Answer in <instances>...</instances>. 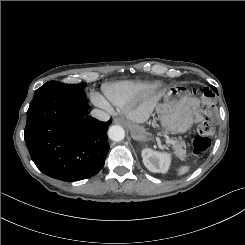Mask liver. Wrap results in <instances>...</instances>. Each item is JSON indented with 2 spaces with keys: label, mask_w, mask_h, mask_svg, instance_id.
Here are the masks:
<instances>
[{
  "label": "liver",
  "mask_w": 245,
  "mask_h": 245,
  "mask_svg": "<svg viewBox=\"0 0 245 245\" xmlns=\"http://www.w3.org/2000/svg\"><path fill=\"white\" fill-rule=\"evenodd\" d=\"M156 104L154 99L145 100L137 108L128 111L126 117L134 123H144L149 119Z\"/></svg>",
  "instance_id": "obj_1"
}]
</instances>
